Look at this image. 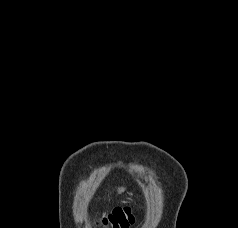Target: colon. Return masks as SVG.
Returning a JSON list of instances; mask_svg holds the SVG:
<instances>
[{"instance_id":"obj_1","label":"colon","mask_w":238,"mask_h":228,"mask_svg":"<svg viewBox=\"0 0 238 228\" xmlns=\"http://www.w3.org/2000/svg\"><path fill=\"white\" fill-rule=\"evenodd\" d=\"M134 223V217L128 207H115L96 222L97 227L128 228Z\"/></svg>"}]
</instances>
